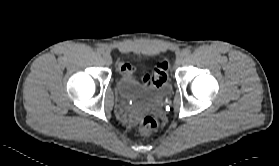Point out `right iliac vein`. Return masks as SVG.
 I'll return each instance as SVG.
<instances>
[{"mask_svg":"<svg viewBox=\"0 0 279 166\" xmlns=\"http://www.w3.org/2000/svg\"><path fill=\"white\" fill-rule=\"evenodd\" d=\"M103 59H104V62L107 64V65H111L112 64V57L109 53H104L103 54Z\"/></svg>","mask_w":279,"mask_h":166,"instance_id":"1","label":"right iliac vein"}]
</instances>
